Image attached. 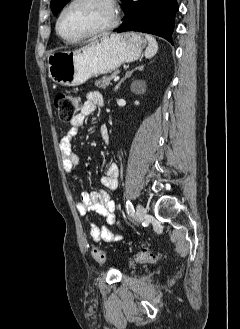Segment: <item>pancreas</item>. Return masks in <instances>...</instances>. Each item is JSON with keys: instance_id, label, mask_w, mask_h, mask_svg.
<instances>
[{"instance_id": "obj_1", "label": "pancreas", "mask_w": 240, "mask_h": 329, "mask_svg": "<svg viewBox=\"0 0 240 329\" xmlns=\"http://www.w3.org/2000/svg\"><path fill=\"white\" fill-rule=\"evenodd\" d=\"M116 76H117V71L111 73L108 76H104L101 79H98L97 81H95V85L98 88H106L111 84L112 79L115 78Z\"/></svg>"}]
</instances>
